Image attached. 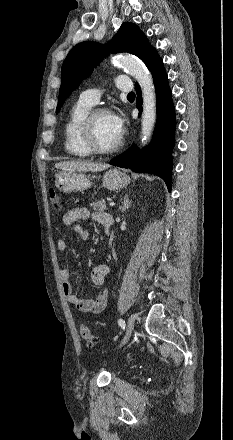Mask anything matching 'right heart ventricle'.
Instances as JSON below:
<instances>
[{
  "label": "right heart ventricle",
  "mask_w": 233,
  "mask_h": 440,
  "mask_svg": "<svg viewBox=\"0 0 233 440\" xmlns=\"http://www.w3.org/2000/svg\"><path fill=\"white\" fill-rule=\"evenodd\" d=\"M91 109V105L79 100L71 107L69 111V115L64 127L65 151L73 157L86 158L91 155V153L84 147L80 139V127L82 121Z\"/></svg>",
  "instance_id": "right-heart-ventricle-1"
}]
</instances>
